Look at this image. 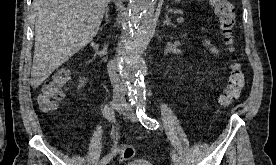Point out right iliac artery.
<instances>
[{
	"instance_id": "82829eb1",
	"label": "right iliac artery",
	"mask_w": 276,
	"mask_h": 165,
	"mask_svg": "<svg viewBox=\"0 0 276 165\" xmlns=\"http://www.w3.org/2000/svg\"><path fill=\"white\" fill-rule=\"evenodd\" d=\"M135 103L133 100L131 102V104ZM103 115L112 123H115V118H114V114L111 111V108L109 106H105L103 109ZM113 132L116 133V135H118V133L116 132V129H114L113 127ZM116 154V148H113L112 151L106 155L105 157H103L100 161L99 165H104L106 164L109 160H111L113 158V156Z\"/></svg>"
}]
</instances>
